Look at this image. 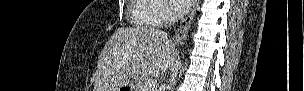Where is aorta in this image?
<instances>
[{
    "label": "aorta",
    "instance_id": "1",
    "mask_svg": "<svg viewBox=\"0 0 304 91\" xmlns=\"http://www.w3.org/2000/svg\"><path fill=\"white\" fill-rule=\"evenodd\" d=\"M184 65H185V66H184ZM185 69H186V63L183 64V65L181 66V69L179 70V75H178L177 80H178L180 77H182V74L184 73ZM174 85H176V81L173 83V86H174Z\"/></svg>",
    "mask_w": 304,
    "mask_h": 91
}]
</instances>
